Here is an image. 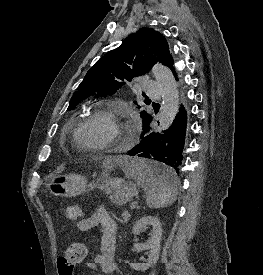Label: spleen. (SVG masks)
I'll return each instance as SVG.
<instances>
[{"mask_svg": "<svg viewBox=\"0 0 263 275\" xmlns=\"http://www.w3.org/2000/svg\"><path fill=\"white\" fill-rule=\"evenodd\" d=\"M122 162L123 171L127 177L136 181L146 194L149 208H162L171 205L176 200V190L169 182L154 177L150 170L151 164L140 158H127Z\"/></svg>", "mask_w": 263, "mask_h": 275, "instance_id": "3e777b00", "label": "spleen"}]
</instances>
